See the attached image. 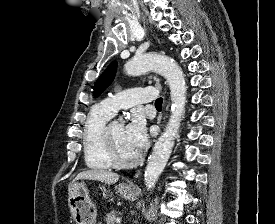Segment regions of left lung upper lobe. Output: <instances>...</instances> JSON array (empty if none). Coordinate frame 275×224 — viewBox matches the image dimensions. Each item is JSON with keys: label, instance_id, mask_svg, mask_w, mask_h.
<instances>
[{"label": "left lung upper lobe", "instance_id": "obj_1", "mask_svg": "<svg viewBox=\"0 0 275 224\" xmlns=\"http://www.w3.org/2000/svg\"><path fill=\"white\" fill-rule=\"evenodd\" d=\"M117 62L113 61L97 80L94 86V96L98 97L114 80Z\"/></svg>", "mask_w": 275, "mask_h": 224}]
</instances>
